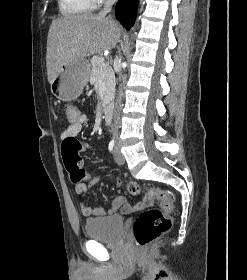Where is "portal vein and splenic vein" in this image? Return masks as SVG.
Listing matches in <instances>:
<instances>
[{
    "instance_id": "obj_1",
    "label": "portal vein and splenic vein",
    "mask_w": 247,
    "mask_h": 280,
    "mask_svg": "<svg viewBox=\"0 0 247 280\" xmlns=\"http://www.w3.org/2000/svg\"><path fill=\"white\" fill-rule=\"evenodd\" d=\"M108 66V63H102L101 68H107Z\"/></svg>"
}]
</instances>
